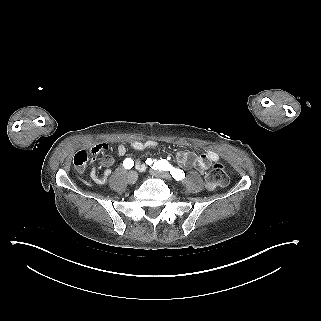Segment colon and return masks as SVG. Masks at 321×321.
<instances>
[{
  "label": "colon",
  "instance_id": "colon-1",
  "mask_svg": "<svg viewBox=\"0 0 321 321\" xmlns=\"http://www.w3.org/2000/svg\"><path fill=\"white\" fill-rule=\"evenodd\" d=\"M86 160L84 157H76L75 165L80 172L84 171ZM228 180V175L223 164L216 163L212 166L206 176V184L208 188H220L223 187Z\"/></svg>",
  "mask_w": 321,
  "mask_h": 321
}]
</instances>
